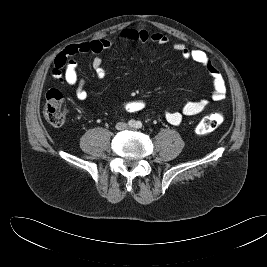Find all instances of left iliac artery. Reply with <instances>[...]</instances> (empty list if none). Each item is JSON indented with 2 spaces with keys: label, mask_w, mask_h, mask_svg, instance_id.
I'll list each match as a JSON object with an SVG mask.
<instances>
[{
  "label": "left iliac artery",
  "mask_w": 267,
  "mask_h": 267,
  "mask_svg": "<svg viewBox=\"0 0 267 267\" xmlns=\"http://www.w3.org/2000/svg\"><path fill=\"white\" fill-rule=\"evenodd\" d=\"M142 123L140 121L136 122V128L140 129L142 128Z\"/></svg>",
  "instance_id": "44dca946"
}]
</instances>
